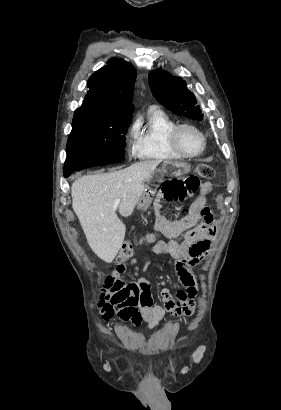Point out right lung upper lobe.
I'll return each instance as SVG.
<instances>
[{
	"label": "right lung upper lobe",
	"mask_w": 281,
	"mask_h": 410,
	"mask_svg": "<svg viewBox=\"0 0 281 410\" xmlns=\"http://www.w3.org/2000/svg\"><path fill=\"white\" fill-rule=\"evenodd\" d=\"M135 68L118 58L96 71L88 80L89 91L78 109H91L113 116H131Z\"/></svg>",
	"instance_id": "cb5924a9"
}]
</instances>
